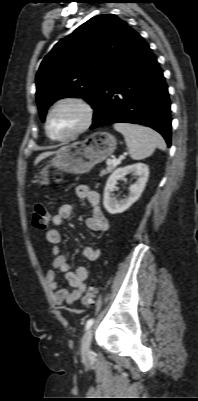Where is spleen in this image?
<instances>
[{
	"label": "spleen",
	"mask_w": 198,
	"mask_h": 401,
	"mask_svg": "<svg viewBox=\"0 0 198 401\" xmlns=\"http://www.w3.org/2000/svg\"><path fill=\"white\" fill-rule=\"evenodd\" d=\"M114 128L124 135L129 154L134 160H142L151 156L156 148L162 151L166 150L163 137L148 127L116 123Z\"/></svg>",
	"instance_id": "obj_1"
}]
</instances>
